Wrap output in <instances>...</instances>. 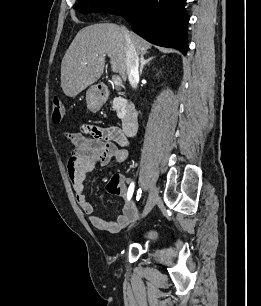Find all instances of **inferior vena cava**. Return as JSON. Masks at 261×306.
<instances>
[{"label":"inferior vena cava","mask_w":261,"mask_h":306,"mask_svg":"<svg viewBox=\"0 0 261 306\" xmlns=\"http://www.w3.org/2000/svg\"><path fill=\"white\" fill-rule=\"evenodd\" d=\"M125 40H126V65H127V75L130 85L136 88L137 82L139 80V56L133 45L129 31L125 27H121Z\"/></svg>","instance_id":"602c4592"}]
</instances>
